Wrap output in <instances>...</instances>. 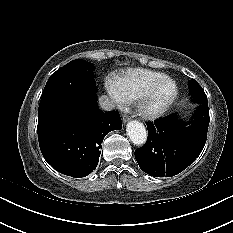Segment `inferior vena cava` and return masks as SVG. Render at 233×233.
I'll use <instances>...</instances> for the list:
<instances>
[{"mask_svg":"<svg viewBox=\"0 0 233 233\" xmlns=\"http://www.w3.org/2000/svg\"><path fill=\"white\" fill-rule=\"evenodd\" d=\"M99 105L104 111H110L115 108L114 102L108 96H101L99 98Z\"/></svg>","mask_w":233,"mask_h":233,"instance_id":"inferior-vena-cava-1","label":"inferior vena cava"}]
</instances>
